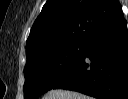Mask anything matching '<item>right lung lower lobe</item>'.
I'll list each match as a JSON object with an SVG mask.
<instances>
[{
    "mask_svg": "<svg viewBox=\"0 0 128 99\" xmlns=\"http://www.w3.org/2000/svg\"><path fill=\"white\" fill-rule=\"evenodd\" d=\"M83 43L77 65L53 89L78 91L98 99H127L128 33L122 9Z\"/></svg>",
    "mask_w": 128,
    "mask_h": 99,
    "instance_id": "right-lung-lower-lobe-1",
    "label": "right lung lower lobe"
}]
</instances>
